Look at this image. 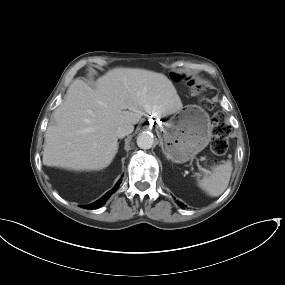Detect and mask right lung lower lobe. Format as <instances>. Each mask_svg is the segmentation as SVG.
<instances>
[{
    "label": "right lung lower lobe",
    "instance_id": "right-lung-lower-lobe-1",
    "mask_svg": "<svg viewBox=\"0 0 285 285\" xmlns=\"http://www.w3.org/2000/svg\"><path fill=\"white\" fill-rule=\"evenodd\" d=\"M121 179L116 183V186L111 190V191H108L103 197H101L99 200L95 201L94 203L92 204H89L87 206H83V208L85 209H98L100 208L103 204L106 203L107 199L110 197V195L118 189L120 183H121Z\"/></svg>",
    "mask_w": 285,
    "mask_h": 285
}]
</instances>
